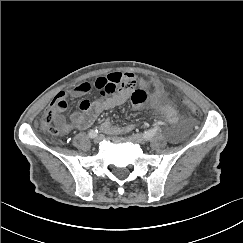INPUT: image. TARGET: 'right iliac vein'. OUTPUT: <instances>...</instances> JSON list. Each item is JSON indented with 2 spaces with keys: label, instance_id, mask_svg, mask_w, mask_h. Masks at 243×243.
I'll use <instances>...</instances> for the list:
<instances>
[{
  "label": "right iliac vein",
  "instance_id": "63e3f726",
  "mask_svg": "<svg viewBox=\"0 0 243 243\" xmlns=\"http://www.w3.org/2000/svg\"><path fill=\"white\" fill-rule=\"evenodd\" d=\"M103 139V136L102 135H98L96 137H94L93 141L95 144H99Z\"/></svg>",
  "mask_w": 243,
  "mask_h": 243
}]
</instances>
